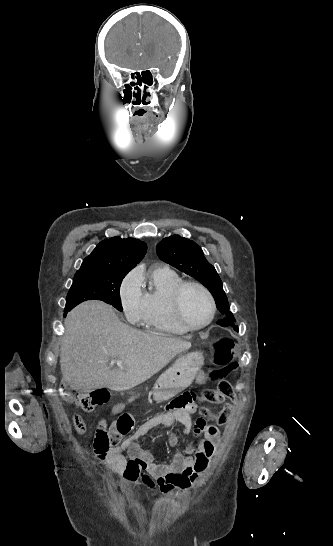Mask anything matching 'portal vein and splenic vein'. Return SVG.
<instances>
[{
	"label": "portal vein and splenic vein",
	"instance_id": "1",
	"mask_svg": "<svg viewBox=\"0 0 333 546\" xmlns=\"http://www.w3.org/2000/svg\"><path fill=\"white\" fill-rule=\"evenodd\" d=\"M111 362H112V363H113V362H116L117 365H118L119 367H122V366H121V363H122V362H121L120 360H112Z\"/></svg>",
	"mask_w": 333,
	"mask_h": 546
}]
</instances>
